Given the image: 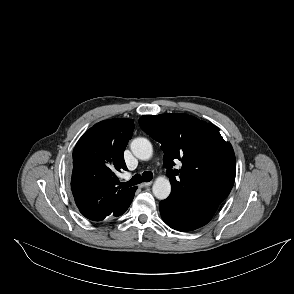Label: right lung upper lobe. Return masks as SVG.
Listing matches in <instances>:
<instances>
[{"label":"right lung upper lobe","mask_w":294,"mask_h":294,"mask_svg":"<svg viewBox=\"0 0 294 294\" xmlns=\"http://www.w3.org/2000/svg\"><path fill=\"white\" fill-rule=\"evenodd\" d=\"M133 129L131 119L104 120L77 142L71 188L76 205L86 218L98 221L113 215L135 189H121L116 176L127 170L123 154Z\"/></svg>","instance_id":"right-lung-upper-lobe-1"}]
</instances>
